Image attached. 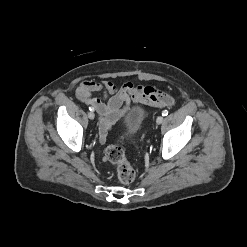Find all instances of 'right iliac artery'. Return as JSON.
<instances>
[{
    "mask_svg": "<svg viewBox=\"0 0 247 247\" xmlns=\"http://www.w3.org/2000/svg\"><path fill=\"white\" fill-rule=\"evenodd\" d=\"M89 110H90V111H93V110H94V108H93V107H89Z\"/></svg>",
    "mask_w": 247,
    "mask_h": 247,
    "instance_id": "1",
    "label": "right iliac artery"
}]
</instances>
